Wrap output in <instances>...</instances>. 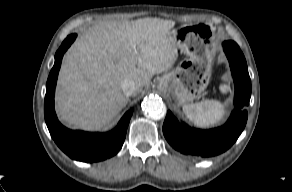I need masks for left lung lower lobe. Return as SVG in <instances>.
<instances>
[{
    "label": "left lung lower lobe",
    "mask_w": 292,
    "mask_h": 192,
    "mask_svg": "<svg viewBox=\"0 0 292 192\" xmlns=\"http://www.w3.org/2000/svg\"><path fill=\"white\" fill-rule=\"evenodd\" d=\"M223 49L235 83V109L225 125L211 130H199L180 124L168 111L163 124L164 136L174 149L183 154L201 157L218 155L234 144L246 125L248 113L244 107L249 104L251 96L247 63L234 41L223 42Z\"/></svg>",
    "instance_id": "left-lung-lower-lobe-1"
}]
</instances>
